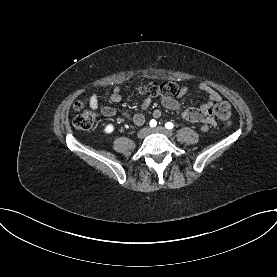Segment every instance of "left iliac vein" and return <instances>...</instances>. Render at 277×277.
Masks as SVG:
<instances>
[{"label":"left iliac vein","instance_id":"obj_1","mask_svg":"<svg viewBox=\"0 0 277 277\" xmlns=\"http://www.w3.org/2000/svg\"><path fill=\"white\" fill-rule=\"evenodd\" d=\"M150 133H161L169 138L173 136V133L171 130H169L165 127H162V126H158L156 128L151 129Z\"/></svg>","mask_w":277,"mask_h":277}]
</instances>
